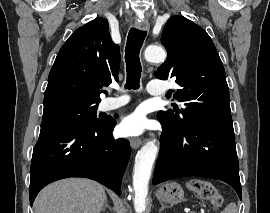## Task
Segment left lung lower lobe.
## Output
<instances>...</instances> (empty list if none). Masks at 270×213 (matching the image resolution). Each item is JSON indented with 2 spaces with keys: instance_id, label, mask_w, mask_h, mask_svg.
Listing matches in <instances>:
<instances>
[{
  "instance_id": "0a47b994",
  "label": "left lung lower lobe",
  "mask_w": 270,
  "mask_h": 213,
  "mask_svg": "<svg viewBox=\"0 0 270 213\" xmlns=\"http://www.w3.org/2000/svg\"><path fill=\"white\" fill-rule=\"evenodd\" d=\"M163 125L153 184L186 176L222 180L241 197L233 124L196 120L183 129Z\"/></svg>"
}]
</instances>
